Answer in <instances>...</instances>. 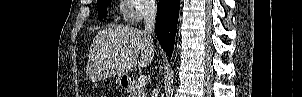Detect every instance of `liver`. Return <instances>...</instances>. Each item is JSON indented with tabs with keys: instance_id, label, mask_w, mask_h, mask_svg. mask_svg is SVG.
Returning a JSON list of instances; mask_svg holds the SVG:
<instances>
[{
	"instance_id": "liver-1",
	"label": "liver",
	"mask_w": 302,
	"mask_h": 97,
	"mask_svg": "<svg viewBox=\"0 0 302 97\" xmlns=\"http://www.w3.org/2000/svg\"><path fill=\"white\" fill-rule=\"evenodd\" d=\"M154 57L153 39L145 31L115 26L97 33L89 51V76L127 75L137 65L145 67Z\"/></svg>"
}]
</instances>
